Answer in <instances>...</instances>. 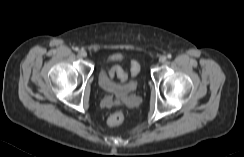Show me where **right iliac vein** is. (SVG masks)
Wrapping results in <instances>:
<instances>
[{
    "instance_id": "63e3f726",
    "label": "right iliac vein",
    "mask_w": 244,
    "mask_h": 157,
    "mask_svg": "<svg viewBox=\"0 0 244 157\" xmlns=\"http://www.w3.org/2000/svg\"><path fill=\"white\" fill-rule=\"evenodd\" d=\"M79 54H80V56L83 57V58H85V57L87 56V52H86L85 50H81V51L79 52Z\"/></svg>"
}]
</instances>
